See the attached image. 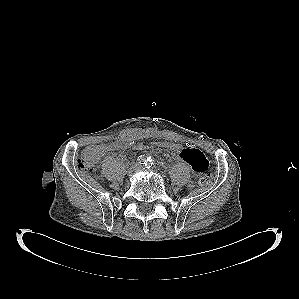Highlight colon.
Returning a JSON list of instances; mask_svg holds the SVG:
<instances>
[{"instance_id": "1", "label": "colon", "mask_w": 299, "mask_h": 299, "mask_svg": "<svg viewBox=\"0 0 299 299\" xmlns=\"http://www.w3.org/2000/svg\"><path fill=\"white\" fill-rule=\"evenodd\" d=\"M127 148L126 144L121 140L111 142L104 145L91 146L86 148L77 161V165L81 170L87 172H93L97 169V164L100 157L107 152L114 151H124ZM150 148H160V149H169L176 150L178 148V144L166 142V141H158V142H150V143H137L133 144L129 149H133L135 151H143ZM212 182V176L209 173L203 174L199 178V183L201 186H207Z\"/></svg>"}]
</instances>
